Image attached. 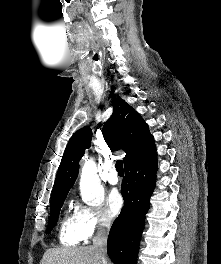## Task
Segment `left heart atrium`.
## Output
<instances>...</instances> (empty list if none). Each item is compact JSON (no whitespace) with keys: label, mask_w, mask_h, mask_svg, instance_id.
Masks as SVG:
<instances>
[{"label":"left heart atrium","mask_w":221,"mask_h":264,"mask_svg":"<svg viewBox=\"0 0 221 264\" xmlns=\"http://www.w3.org/2000/svg\"><path fill=\"white\" fill-rule=\"evenodd\" d=\"M107 210L110 216L114 217L119 214L123 207V198L117 190H112L106 200Z\"/></svg>","instance_id":"1"}]
</instances>
